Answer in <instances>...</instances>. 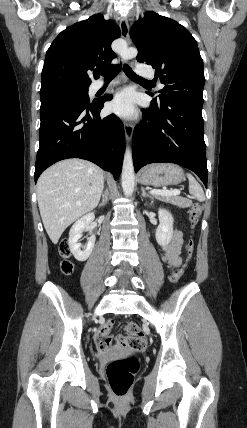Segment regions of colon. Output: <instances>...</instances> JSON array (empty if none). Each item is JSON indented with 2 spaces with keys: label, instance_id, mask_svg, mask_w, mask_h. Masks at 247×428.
I'll return each mask as SVG.
<instances>
[{
  "label": "colon",
  "instance_id": "obj_1",
  "mask_svg": "<svg viewBox=\"0 0 247 428\" xmlns=\"http://www.w3.org/2000/svg\"><path fill=\"white\" fill-rule=\"evenodd\" d=\"M202 207L195 203L189 209V223L191 228H194L198 221ZM194 250V243L190 239L186 244L187 259L191 256ZM59 255L62 260L60 267L65 275H70L74 270L73 263L69 260L70 247L67 240H62L58 247ZM183 275V266L173 269L170 279L173 283H178ZM114 322L108 320L100 330V338L98 347L102 350L113 345L114 342L128 347L135 351H140L146 347L147 340L140 327L135 323H129L125 327V334L114 339L110 335V331ZM139 363L135 357L120 358L111 361L106 368V375L112 392L117 397H124L134 380V376L138 370Z\"/></svg>",
  "mask_w": 247,
  "mask_h": 428
}]
</instances>
